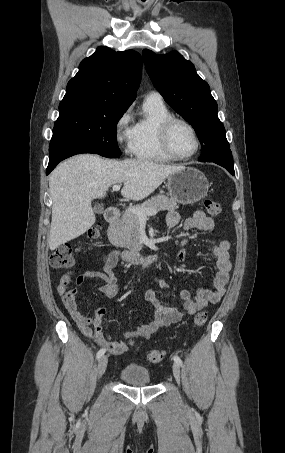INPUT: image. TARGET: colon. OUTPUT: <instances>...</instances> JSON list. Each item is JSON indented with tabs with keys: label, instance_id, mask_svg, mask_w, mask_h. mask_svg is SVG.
<instances>
[{
	"label": "colon",
	"instance_id": "colon-1",
	"mask_svg": "<svg viewBox=\"0 0 285 453\" xmlns=\"http://www.w3.org/2000/svg\"><path fill=\"white\" fill-rule=\"evenodd\" d=\"M205 208L211 216H218L221 213V205L213 200L204 201ZM101 225L97 224L87 231V237L90 240H95L100 236ZM75 263L74 251L71 245L63 244L59 246L50 256V265L56 269H68L73 267ZM207 321V313L199 311L194 319L193 324L195 327L203 326ZM165 352L162 350H152L148 353V360L157 364L163 360Z\"/></svg>",
	"mask_w": 285,
	"mask_h": 453
}]
</instances>
